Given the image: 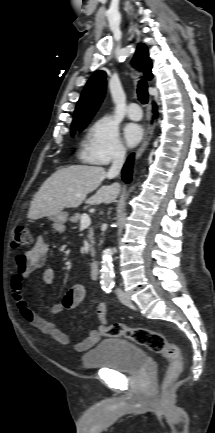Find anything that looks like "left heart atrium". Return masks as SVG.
<instances>
[{"mask_svg":"<svg viewBox=\"0 0 215 433\" xmlns=\"http://www.w3.org/2000/svg\"><path fill=\"white\" fill-rule=\"evenodd\" d=\"M124 136L129 146H135L143 137V129L138 124L129 123L124 127Z\"/></svg>","mask_w":215,"mask_h":433,"instance_id":"left-heart-atrium-1","label":"left heart atrium"}]
</instances>
